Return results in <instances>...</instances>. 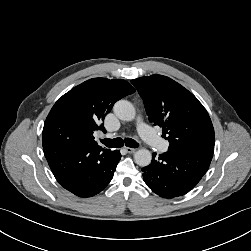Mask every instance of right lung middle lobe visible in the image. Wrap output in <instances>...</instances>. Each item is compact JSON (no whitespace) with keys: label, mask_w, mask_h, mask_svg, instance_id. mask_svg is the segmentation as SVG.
<instances>
[{"label":"right lung middle lobe","mask_w":251,"mask_h":251,"mask_svg":"<svg viewBox=\"0 0 251 251\" xmlns=\"http://www.w3.org/2000/svg\"><path fill=\"white\" fill-rule=\"evenodd\" d=\"M44 140L48 147H80L78 131L66 121H51L46 126Z\"/></svg>","instance_id":"right-lung-middle-lobe-1"}]
</instances>
